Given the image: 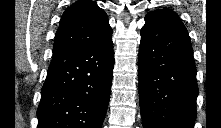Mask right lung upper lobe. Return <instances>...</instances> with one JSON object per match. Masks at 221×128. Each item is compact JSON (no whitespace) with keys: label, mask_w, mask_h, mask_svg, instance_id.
I'll use <instances>...</instances> for the list:
<instances>
[{"label":"right lung upper lobe","mask_w":221,"mask_h":128,"mask_svg":"<svg viewBox=\"0 0 221 128\" xmlns=\"http://www.w3.org/2000/svg\"><path fill=\"white\" fill-rule=\"evenodd\" d=\"M111 36L112 29L104 10L92 0H80L63 13L55 35L53 52L101 46Z\"/></svg>","instance_id":"cb5924a9"}]
</instances>
